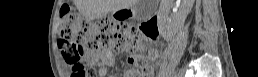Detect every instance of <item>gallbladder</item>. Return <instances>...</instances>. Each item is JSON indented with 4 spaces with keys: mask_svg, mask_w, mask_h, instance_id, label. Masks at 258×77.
I'll list each match as a JSON object with an SVG mask.
<instances>
[{
    "mask_svg": "<svg viewBox=\"0 0 258 77\" xmlns=\"http://www.w3.org/2000/svg\"><path fill=\"white\" fill-rule=\"evenodd\" d=\"M149 0H140L134 7L135 16L138 19H146L150 14L153 13V9L149 4Z\"/></svg>",
    "mask_w": 258,
    "mask_h": 77,
    "instance_id": "1",
    "label": "gallbladder"
}]
</instances>
